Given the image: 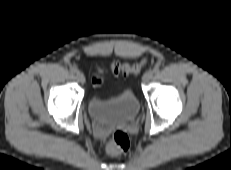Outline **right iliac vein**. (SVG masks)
<instances>
[{"mask_svg":"<svg viewBox=\"0 0 231 170\" xmlns=\"http://www.w3.org/2000/svg\"><path fill=\"white\" fill-rule=\"evenodd\" d=\"M76 79L78 80V82H80L81 84H84L85 83V76L82 72L80 71H77L76 72Z\"/></svg>","mask_w":231,"mask_h":170,"instance_id":"63e3f726","label":"right iliac vein"}]
</instances>
